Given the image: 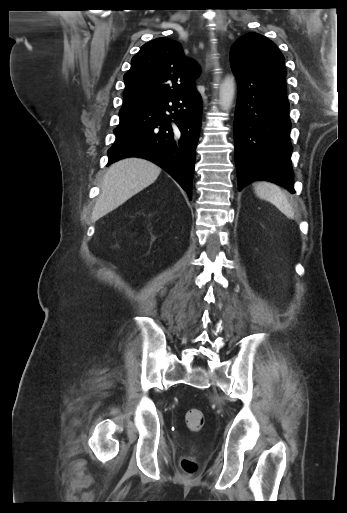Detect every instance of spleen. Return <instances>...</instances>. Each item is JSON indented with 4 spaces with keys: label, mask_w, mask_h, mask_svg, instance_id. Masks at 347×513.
Instances as JSON below:
<instances>
[{
    "label": "spleen",
    "mask_w": 347,
    "mask_h": 513,
    "mask_svg": "<svg viewBox=\"0 0 347 513\" xmlns=\"http://www.w3.org/2000/svg\"><path fill=\"white\" fill-rule=\"evenodd\" d=\"M255 194L263 200L274 204L283 214L289 218L294 217V210L285 193L275 184L270 182H257L254 186Z\"/></svg>",
    "instance_id": "spleen-1"
}]
</instances>
